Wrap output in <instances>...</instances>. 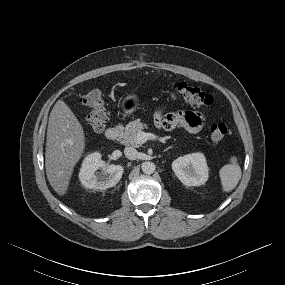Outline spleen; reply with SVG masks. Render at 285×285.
Instances as JSON below:
<instances>
[{
    "label": "spleen",
    "instance_id": "obj_1",
    "mask_svg": "<svg viewBox=\"0 0 285 285\" xmlns=\"http://www.w3.org/2000/svg\"><path fill=\"white\" fill-rule=\"evenodd\" d=\"M241 174V168L237 163V158L231 157L230 163L224 165L219 171L223 191H232L239 183Z\"/></svg>",
    "mask_w": 285,
    "mask_h": 285
}]
</instances>
